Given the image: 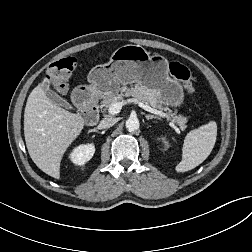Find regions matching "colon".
Instances as JSON below:
<instances>
[{
  "label": "colon",
  "mask_w": 252,
  "mask_h": 252,
  "mask_svg": "<svg viewBox=\"0 0 252 252\" xmlns=\"http://www.w3.org/2000/svg\"><path fill=\"white\" fill-rule=\"evenodd\" d=\"M76 60L67 57L53 63L46 74V80L51 83L59 93H65L67 86L65 78L75 68ZM171 75L180 81L189 94H193L194 87L189 69L179 62H172L169 66Z\"/></svg>",
  "instance_id": "5ec220e1"
}]
</instances>
